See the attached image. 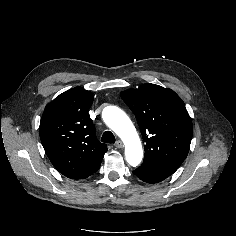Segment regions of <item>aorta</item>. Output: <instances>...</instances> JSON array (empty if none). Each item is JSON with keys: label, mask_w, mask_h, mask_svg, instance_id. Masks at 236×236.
<instances>
[{"label": "aorta", "mask_w": 236, "mask_h": 236, "mask_svg": "<svg viewBox=\"0 0 236 236\" xmlns=\"http://www.w3.org/2000/svg\"><path fill=\"white\" fill-rule=\"evenodd\" d=\"M104 122L125 144V158L131 166L140 164L143 150L137 131L127 114L116 106H107L102 113Z\"/></svg>", "instance_id": "762f6f07"}]
</instances>
